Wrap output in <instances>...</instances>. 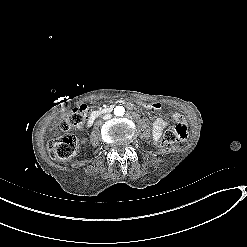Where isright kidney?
I'll return each mask as SVG.
<instances>
[{
    "instance_id": "ca27d5eb",
    "label": "right kidney",
    "mask_w": 247,
    "mask_h": 247,
    "mask_svg": "<svg viewBox=\"0 0 247 247\" xmlns=\"http://www.w3.org/2000/svg\"><path fill=\"white\" fill-rule=\"evenodd\" d=\"M86 142H87V138L83 137V138L81 139V144L85 145Z\"/></svg>"
}]
</instances>
